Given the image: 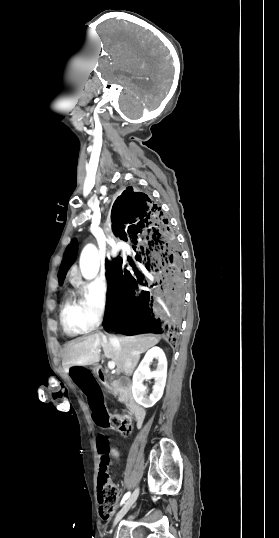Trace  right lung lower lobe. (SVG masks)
Segmentation results:
<instances>
[{"label":"right lung lower lobe","mask_w":279,"mask_h":538,"mask_svg":"<svg viewBox=\"0 0 279 538\" xmlns=\"http://www.w3.org/2000/svg\"><path fill=\"white\" fill-rule=\"evenodd\" d=\"M112 230L133 244V272L119 259L106 261L107 300L103 326L126 332L174 334L185 309V283L178 243L168 220L147 194L127 187L115 201ZM129 334V333H126Z\"/></svg>","instance_id":"obj_1"}]
</instances>
